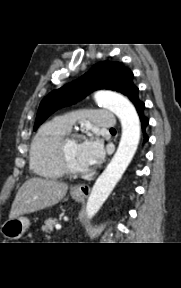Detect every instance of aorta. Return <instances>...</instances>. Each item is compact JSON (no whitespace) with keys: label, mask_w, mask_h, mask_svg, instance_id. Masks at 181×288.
<instances>
[{"label":"aorta","mask_w":181,"mask_h":288,"mask_svg":"<svg viewBox=\"0 0 181 288\" xmlns=\"http://www.w3.org/2000/svg\"><path fill=\"white\" fill-rule=\"evenodd\" d=\"M95 101L113 112L120 120L122 136L115 155L98 177L87 200L86 214L92 218L102 207L131 162L140 140V121L131 102L120 94L99 91Z\"/></svg>","instance_id":"obj_1"}]
</instances>
